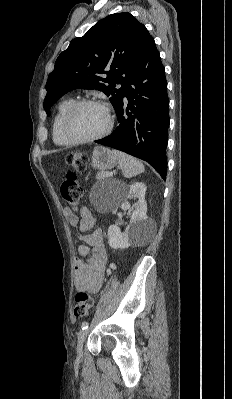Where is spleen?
I'll return each mask as SVG.
<instances>
[{
	"label": "spleen",
	"mask_w": 232,
	"mask_h": 399,
	"mask_svg": "<svg viewBox=\"0 0 232 399\" xmlns=\"http://www.w3.org/2000/svg\"><path fill=\"white\" fill-rule=\"evenodd\" d=\"M117 158V164L123 172L124 178H133V176H138L145 172V168L139 160L128 156V154H123V152H118V150H112Z\"/></svg>",
	"instance_id": "obj_1"
}]
</instances>
